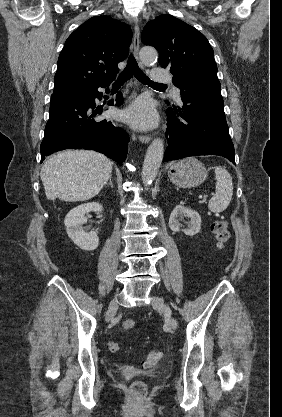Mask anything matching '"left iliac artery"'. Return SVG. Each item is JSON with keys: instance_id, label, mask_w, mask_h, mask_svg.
<instances>
[{"instance_id": "44dca946", "label": "left iliac artery", "mask_w": 282, "mask_h": 417, "mask_svg": "<svg viewBox=\"0 0 282 417\" xmlns=\"http://www.w3.org/2000/svg\"><path fill=\"white\" fill-rule=\"evenodd\" d=\"M166 310L169 314H171V311H170L169 307H166Z\"/></svg>"}]
</instances>
